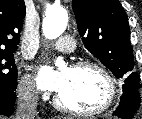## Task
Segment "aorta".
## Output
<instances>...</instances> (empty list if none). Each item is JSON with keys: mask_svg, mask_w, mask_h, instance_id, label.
I'll return each instance as SVG.
<instances>
[{"mask_svg": "<svg viewBox=\"0 0 142 119\" xmlns=\"http://www.w3.org/2000/svg\"><path fill=\"white\" fill-rule=\"evenodd\" d=\"M68 13L63 7H51L46 11L42 23L43 34L48 39L59 37L66 29ZM56 66L62 67L64 62L61 58L56 59Z\"/></svg>", "mask_w": 142, "mask_h": 119, "instance_id": "1", "label": "aorta"}]
</instances>
